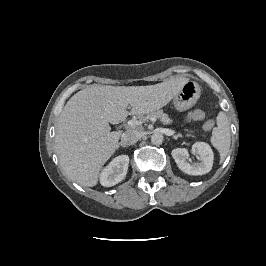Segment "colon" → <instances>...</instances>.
<instances>
[{"instance_id":"5ec220e1","label":"colon","mask_w":266,"mask_h":266,"mask_svg":"<svg viewBox=\"0 0 266 266\" xmlns=\"http://www.w3.org/2000/svg\"><path fill=\"white\" fill-rule=\"evenodd\" d=\"M205 118V113L202 110H195L191 112L188 116L189 120H203ZM213 126V122L211 120H207L204 123V129L210 130Z\"/></svg>"}]
</instances>
